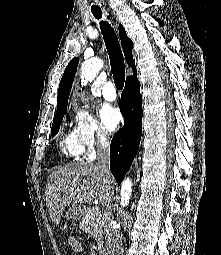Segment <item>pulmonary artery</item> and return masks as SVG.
I'll return each mask as SVG.
<instances>
[{
	"instance_id": "e3ab8cb5",
	"label": "pulmonary artery",
	"mask_w": 221,
	"mask_h": 255,
	"mask_svg": "<svg viewBox=\"0 0 221 255\" xmlns=\"http://www.w3.org/2000/svg\"><path fill=\"white\" fill-rule=\"evenodd\" d=\"M102 95L108 101H113L116 99V90L113 82L108 81L102 87Z\"/></svg>"
}]
</instances>
